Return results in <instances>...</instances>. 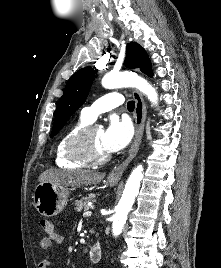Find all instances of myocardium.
I'll return each instance as SVG.
<instances>
[{
	"label": "myocardium",
	"mask_w": 221,
	"mask_h": 268,
	"mask_svg": "<svg viewBox=\"0 0 221 268\" xmlns=\"http://www.w3.org/2000/svg\"><path fill=\"white\" fill-rule=\"evenodd\" d=\"M96 128H98V126L89 124L88 126L79 130L70 139L68 144V152L73 159L86 164L97 165L103 164L111 158L110 153L99 155L94 151L91 137Z\"/></svg>",
	"instance_id": "f54148a6"
}]
</instances>
